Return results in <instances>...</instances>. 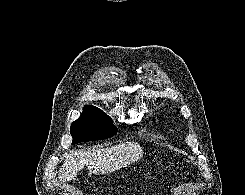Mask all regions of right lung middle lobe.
Segmentation results:
<instances>
[{
    "label": "right lung middle lobe",
    "instance_id": "dd1d6c3e",
    "mask_svg": "<svg viewBox=\"0 0 245 195\" xmlns=\"http://www.w3.org/2000/svg\"><path fill=\"white\" fill-rule=\"evenodd\" d=\"M118 129L111 118L99 108L87 105L70 128L73 145L83 141L102 140L114 136Z\"/></svg>",
    "mask_w": 245,
    "mask_h": 195
}]
</instances>
